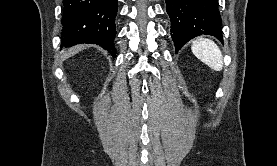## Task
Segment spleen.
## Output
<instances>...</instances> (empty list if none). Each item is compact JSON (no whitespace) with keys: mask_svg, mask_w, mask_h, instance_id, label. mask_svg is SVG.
<instances>
[{"mask_svg":"<svg viewBox=\"0 0 277 166\" xmlns=\"http://www.w3.org/2000/svg\"><path fill=\"white\" fill-rule=\"evenodd\" d=\"M191 50L193 54L215 71L223 68V55L219 47L210 39L199 37L193 41Z\"/></svg>","mask_w":277,"mask_h":166,"instance_id":"3e777b00","label":"spleen"}]
</instances>
